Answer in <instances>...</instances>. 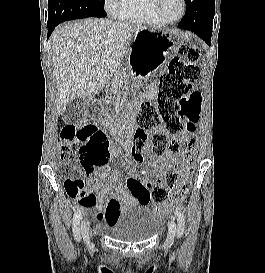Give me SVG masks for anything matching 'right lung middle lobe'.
<instances>
[{"instance_id":"dd1d6c3e","label":"right lung middle lobe","mask_w":265,"mask_h":273,"mask_svg":"<svg viewBox=\"0 0 265 273\" xmlns=\"http://www.w3.org/2000/svg\"><path fill=\"white\" fill-rule=\"evenodd\" d=\"M104 0H48V25L87 17H105Z\"/></svg>"}]
</instances>
